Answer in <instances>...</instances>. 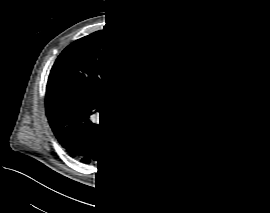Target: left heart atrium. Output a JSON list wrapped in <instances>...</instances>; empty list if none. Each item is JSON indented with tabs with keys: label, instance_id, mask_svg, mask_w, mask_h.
Returning a JSON list of instances; mask_svg holds the SVG:
<instances>
[{
	"label": "left heart atrium",
	"instance_id": "1",
	"mask_svg": "<svg viewBox=\"0 0 270 213\" xmlns=\"http://www.w3.org/2000/svg\"><path fill=\"white\" fill-rule=\"evenodd\" d=\"M150 91H151V89H153V86H150ZM137 90V87H131L130 89H129V94L131 95V94H133V92H135ZM151 94H148V96H147V99H150V96Z\"/></svg>",
	"mask_w": 270,
	"mask_h": 213
}]
</instances>
